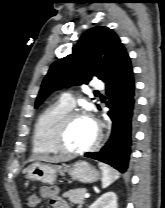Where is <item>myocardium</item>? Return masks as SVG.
Here are the masks:
<instances>
[{
	"instance_id": "myocardium-1",
	"label": "myocardium",
	"mask_w": 165,
	"mask_h": 208,
	"mask_svg": "<svg viewBox=\"0 0 165 208\" xmlns=\"http://www.w3.org/2000/svg\"><path fill=\"white\" fill-rule=\"evenodd\" d=\"M78 117H87L92 120V117L88 112L84 110L76 109V110L67 111L56 123L52 131L51 141L53 143V146L57 149L58 153L70 154V155H83L93 151L98 147L101 141V131L93 120L92 121L95 124L96 133H95L94 141L88 147L75 150V149H69L65 146V144L63 143L64 133L68 128V126L70 125V123L75 118Z\"/></svg>"
}]
</instances>
